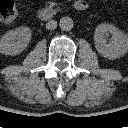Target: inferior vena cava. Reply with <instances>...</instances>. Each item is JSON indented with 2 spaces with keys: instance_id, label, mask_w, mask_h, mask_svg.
Returning a JSON list of instances; mask_svg holds the SVG:
<instances>
[{
  "instance_id": "inferior-vena-cava-1",
  "label": "inferior vena cava",
  "mask_w": 128,
  "mask_h": 128,
  "mask_svg": "<svg viewBox=\"0 0 128 128\" xmlns=\"http://www.w3.org/2000/svg\"><path fill=\"white\" fill-rule=\"evenodd\" d=\"M56 27H57V22L54 21V20H50V21H48V22L46 23V28H47L48 30H54V29H56Z\"/></svg>"
}]
</instances>
